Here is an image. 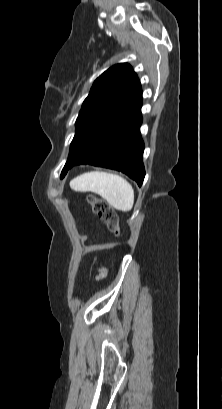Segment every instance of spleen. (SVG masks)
<instances>
[{"mask_svg":"<svg viewBox=\"0 0 222 409\" xmlns=\"http://www.w3.org/2000/svg\"><path fill=\"white\" fill-rule=\"evenodd\" d=\"M70 187L77 192L98 194L116 210L128 212L133 208L134 190L126 179L117 174L87 172L71 180Z\"/></svg>","mask_w":222,"mask_h":409,"instance_id":"3e777b00","label":"spleen"}]
</instances>
